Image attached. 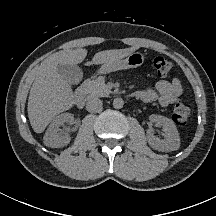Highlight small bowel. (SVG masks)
Listing matches in <instances>:
<instances>
[{
	"label": "small bowel",
	"mask_w": 216,
	"mask_h": 216,
	"mask_svg": "<svg viewBox=\"0 0 216 216\" xmlns=\"http://www.w3.org/2000/svg\"><path fill=\"white\" fill-rule=\"evenodd\" d=\"M138 94L140 95L139 99L144 102L158 100L160 105L169 106L182 94V85L178 78L171 81L159 80L155 89L139 91Z\"/></svg>",
	"instance_id": "c3829d8e"
}]
</instances>
